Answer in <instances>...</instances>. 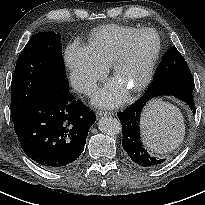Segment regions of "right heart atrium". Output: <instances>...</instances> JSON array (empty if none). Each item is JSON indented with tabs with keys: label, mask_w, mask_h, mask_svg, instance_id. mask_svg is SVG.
Instances as JSON below:
<instances>
[{
	"label": "right heart atrium",
	"mask_w": 205,
	"mask_h": 205,
	"mask_svg": "<svg viewBox=\"0 0 205 205\" xmlns=\"http://www.w3.org/2000/svg\"><path fill=\"white\" fill-rule=\"evenodd\" d=\"M64 59L73 85L84 94H91L106 75V66L99 63L89 49L78 43L67 46Z\"/></svg>",
	"instance_id": "d8ad5b80"
}]
</instances>
